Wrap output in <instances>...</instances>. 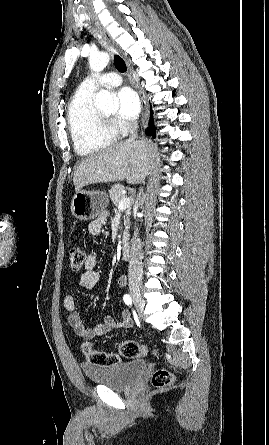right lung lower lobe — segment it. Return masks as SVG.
Returning <instances> with one entry per match:
<instances>
[{"instance_id": "98d812e1", "label": "right lung lower lobe", "mask_w": 269, "mask_h": 445, "mask_svg": "<svg viewBox=\"0 0 269 445\" xmlns=\"http://www.w3.org/2000/svg\"><path fill=\"white\" fill-rule=\"evenodd\" d=\"M147 134L153 136L155 138V130L153 129V110L151 108V118H150V126L146 130Z\"/></svg>"}]
</instances>
